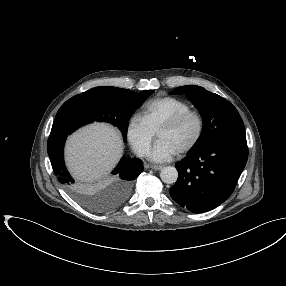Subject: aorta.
<instances>
[{
    "instance_id": "1",
    "label": "aorta",
    "mask_w": 286,
    "mask_h": 286,
    "mask_svg": "<svg viewBox=\"0 0 286 286\" xmlns=\"http://www.w3.org/2000/svg\"><path fill=\"white\" fill-rule=\"evenodd\" d=\"M160 178L164 183L173 184L177 181L178 172L175 167H164L160 172Z\"/></svg>"
}]
</instances>
